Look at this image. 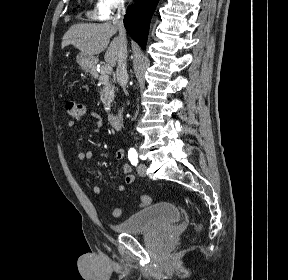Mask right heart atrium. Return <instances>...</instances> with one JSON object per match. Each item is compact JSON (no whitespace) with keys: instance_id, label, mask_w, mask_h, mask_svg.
<instances>
[{"instance_id":"1","label":"right heart atrium","mask_w":288,"mask_h":280,"mask_svg":"<svg viewBox=\"0 0 288 280\" xmlns=\"http://www.w3.org/2000/svg\"><path fill=\"white\" fill-rule=\"evenodd\" d=\"M126 0H95L93 16L100 21L110 20L125 7Z\"/></svg>"}]
</instances>
